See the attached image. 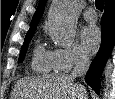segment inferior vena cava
<instances>
[{
    "mask_svg": "<svg viewBox=\"0 0 115 99\" xmlns=\"http://www.w3.org/2000/svg\"><path fill=\"white\" fill-rule=\"evenodd\" d=\"M89 66H90L89 58L85 55H78L75 60V66L71 73V77L75 79L77 77L84 76L88 71Z\"/></svg>",
    "mask_w": 115,
    "mask_h": 99,
    "instance_id": "602c4592",
    "label": "inferior vena cava"
}]
</instances>
